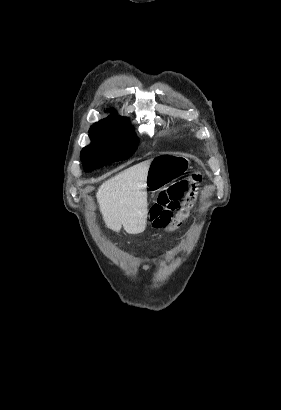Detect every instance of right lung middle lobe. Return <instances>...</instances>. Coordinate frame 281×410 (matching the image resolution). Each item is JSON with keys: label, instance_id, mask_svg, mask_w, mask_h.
<instances>
[{"label": "right lung middle lobe", "instance_id": "1", "mask_svg": "<svg viewBox=\"0 0 281 410\" xmlns=\"http://www.w3.org/2000/svg\"><path fill=\"white\" fill-rule=\"evenodd\" d=\"M91 144L84 147L81 160L86 171L130 157L138 139L130 123L97 122L89 130Z\"/></svg>", "mask_w": 281, "mask_h": 410}]
</instances>
